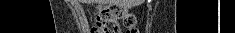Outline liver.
I'll use <instances>...</instances> for the list:
<instances>
[{"mask_svg": "<svg viewBox=\"0 0 235 33\" xmlns=\"http://www.w3.org/2000/svg\"><path fill=\"white\" fill-rule=\"evenodd\" d=\"M86 3H102V4H106L108 3L107 0H85ZM114 2V1H113ZM139 2L138 1H127V4L129 7L135 6L137 5Z\"/></svg>", "mask_w": 235, "mask_h": 33, "instance_id": "1", "label": "liver"}]
</instances>
